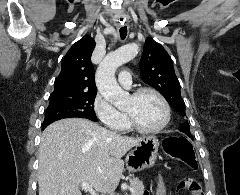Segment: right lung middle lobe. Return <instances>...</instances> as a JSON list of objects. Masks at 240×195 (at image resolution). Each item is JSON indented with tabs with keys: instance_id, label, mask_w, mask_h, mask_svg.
<instances>
[{
	"instance_id": "dd1d6c3e",
	"label": "right lung middle lobe",
	"mask_w": 240,
	"mask_h": 195,
	"mask_svg": "<svg viewBox=\"0 0 240 195\" xmlns=\"http://www.w3.org/2000/svg\"><path fill=\"white\" fill-rule=\"evenodd\" d=\"M95 96L96 94L51 95L43 127L48 126L54 121L71 117L97 121L93 107Z\"/></svg>"
}]
</instances>
